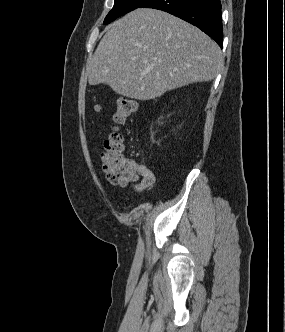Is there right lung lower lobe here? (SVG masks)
I'll return each instance as SVG.
<instances>
[{
	"label": "right lung lower lobe",
	"instance_id": "1",
	"mask_svg": "<svg viewBox=\"0 0 285 332\" xmlns=\"http://www.w3.org/2000/svg\"><path fill=\"white\" fill-rule=\"evenodd\" d=\"M140 8H154L173 14L201 29L223 46L220 0H146Z\"/></svg>",
	"mask_w": 285,
	"mask_h": 332
}]
</instances>
